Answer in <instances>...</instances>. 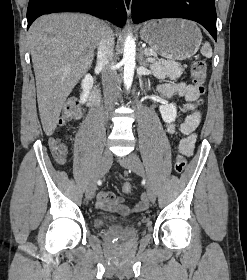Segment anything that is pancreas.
I'll return each instance as SVG.
<instances>
[{
  "instance_id": "obj_1",
  "label": "pancreas",
  "mask_w": 247,
  "mask_h": 280,
  "mask_svg": "<svg viewBox=\"0 0 247 280\" xmlns=\"http://www.w3.org/2000/svg\"><path fill=\"white\" fill-rule=\"evenodd\" d=\"M145 52L155 56L153 49L147 48ZM186 66L182 67L180 63L174 61L158 60L151 63L150 68L154 75L159 79L169 77L171 80L178 79Z\"/></svg>"
}]
</instances>
